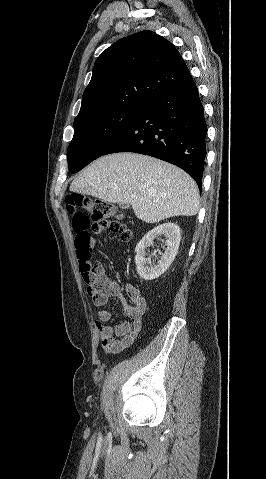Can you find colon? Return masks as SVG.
I'll return each instance as SVG.
<instances>
[{
    "mask_svg": "<svg viewBox=\"0 0 266 479\" xmlns=\"http://www.w3.org/2000/svg\"><path fill=\"white\" fill-rule=\"evenodd\" d=\"M65 203L67 212L72 215L78 268L87 293L94 298L97 289L94 283L95 265L92 262L90 231L94 234L108 231L124 242L131 239V232L117 219L120 213L112 203L78 193L68 194Z\"/></svg>",
    "mask_w": 266,
    "mask_h": 479,
    "instance_id": "1",
    "label": "colon"
}]
</instances>
